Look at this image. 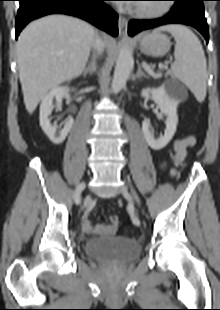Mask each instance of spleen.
Instances as JSON below:
<instances>
[{"label":"spleen","mask_w":220,"mask_h":310,"mask_svg":"<svg viewBox=\"0 0 220 310\" xmlns=\"http://www.w3.org/2000/svg\"><path fill=\"white\" fill-rule=\"evenodd\" d=\"M168 31L175 39V61L171 70L195 95L199 102L206 96L208 78L206 58L198 37L186 26L170 24L155 30Z\"/></svg>","instance_id":"3e777b00"}]
</instances>
